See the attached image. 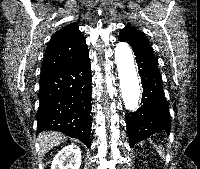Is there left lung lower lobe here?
Returning <instances> with one entry per match:
<instances>
[{"label":"left lung lower lobe","instance_id":"obj_1","mask_svg":"<svg viewBox=\"0 0 200 169\" xmlns=\"http://www.w3.org/2000/svg\"><path fill=\"white\" fill-rule=\"evenodd\" d=\"M136 62L143 87V104L136 112L126 114L130 146L153 134L169 133L171 129L169 104L157 62L145 56H136Z\"/></svg>","mask_w":200,"mask_h":169}]
</instances>
